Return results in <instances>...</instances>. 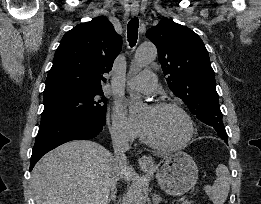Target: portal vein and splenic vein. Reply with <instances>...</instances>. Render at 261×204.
I'll return each instance as SVG.
<instances>
[{"mask_svg": "<svg viewBox=\"0 0 261 204\" xmlns=\"http://www.w3.org/2000/svg\"><path fill=\"white\" fill-rule=\"evenodd\" d=\"M180 201H181V204H190L189 200L186 197H182L180 199Z\"/></svg>", "mask_w": 261, "mask_h": 204, "instance_id": "portal-vein-and-splenic-vein-1", "label": "portal vein and splenic vein"}]
</instances>
